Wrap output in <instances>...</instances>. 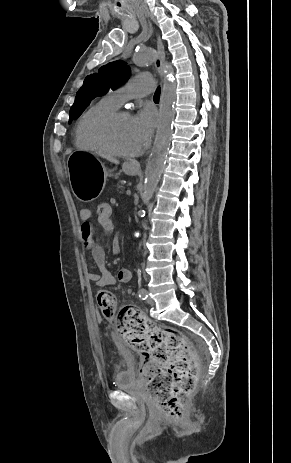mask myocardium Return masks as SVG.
Here are the masks:
<instances>
[{
  "instance_id": "f54148a6",
  "label": "myocardium",
  "mask_w": 291,
  "mask_h": 463,
  "mask_svg": "<svg viewBox=\"0 0 291 463\" xmlns=\"http://www.w3.org/2000/svg\"><path fill=\"white\" fill-rule=\"evenodd\" d=\"M127 115L125 111L114 110L106 115L94 119L87 128L88 140L101 151L122 158H134L142 152V147L134 152H125L114 146L107 135L109 127L120 117Z\"/></svg>"
}]
</instances>
